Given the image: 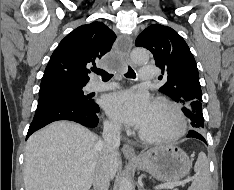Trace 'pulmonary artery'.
Segmentation results:
<instances>
[{"instance_id":"e3ab8cb5","label":"pulmonary artery","mask_w":234,"mask_h":190,"mask_svg":"<svg viewBox=\"0 0 234 190\" xmlns=\"http://www.w3.org/2000/svg\"><path fill=\"white\" fill-rule=\"evenodd\" d=\"M155 75V67L154 66H143L140 68V75L139 78L141 81H149ZM116 84L114 83H92L91 89L93 91H102V90H109L115 88Z\"/></svg>"}]
</instances>
